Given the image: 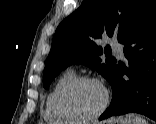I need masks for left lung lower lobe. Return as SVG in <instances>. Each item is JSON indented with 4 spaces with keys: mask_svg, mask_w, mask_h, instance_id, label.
Listing matches in <instances>:
<instances>
[{
    "mask_svg": "<svg viewBox=\"0 0 156 124\" xmlns=\"http://www.w3.org/2000/svg\"><path fill=\"white\" fill-rule=\"evenodd\" d=\"M123 44L129 70L117 64L110 80L113 98L99 120L137 112L156 121V0Z\"/></svg>",
    "mask_w": 156,
    "mask_h": 124,
    "instance_id": "left-lung-lower-lobe-1",
    "label": "left lung lower lobe"
}]
</instances>
